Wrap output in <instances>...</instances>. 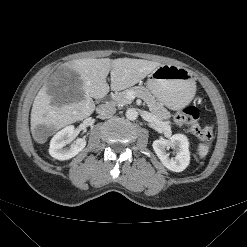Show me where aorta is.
I'll return each mask as SVG.
<instances>
[{
	"mask_svg": "<svg viewBox=\"0 0 247 247\" xmlns=\"http://www.w3.org/2000/svg\"><path fill=\"white\" fill-rule=\"evenodd\" d=\"M125 115H126V118L131 121H134L138 118V112L135 108L127 109Z\"/></svg>",
	"mask_w": 247,
	"mask_h": 247,
	"instance_id": "aorta-1",
	"label": "aorta"
}]
</instances>
